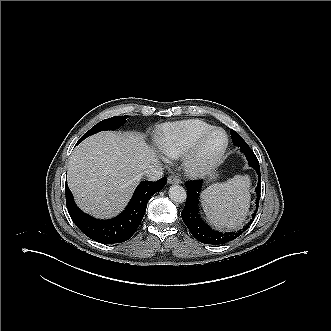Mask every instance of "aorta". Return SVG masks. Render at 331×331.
Masks as SVG:
<instances>
[{
  "mask_svg": "<svg viewBox=\"0 0 331 331\" xmlns=\"http://www.w3.org/2000/svg\"><path fill=\"white\" fill-rule=\"evenodd\" d=\"M168 193L171 200L177 203H183L187 199V192L181 185H172Z\"/></svg>",
  "mask_w": 331,
  "mask_h": 331,
  "instance_id": "aorta-1",
  "label": "aorta"
}]
</instances>
